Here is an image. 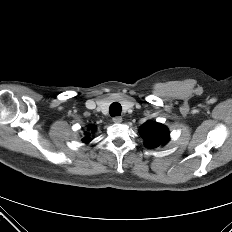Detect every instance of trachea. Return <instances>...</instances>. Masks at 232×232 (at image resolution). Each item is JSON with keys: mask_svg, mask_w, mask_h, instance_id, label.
<instances>
[{"mask_svg": "<svg viewBox=\"0 0 232 232\" xmlns=\"http://www.w3.org/2000/svg\"><path fill=\"white\" fill-rule=\"evenodd\" d=\"M122 107L118 102H114L110 105L109 112L111 116H120Z\"/></svg>", "mask_w": 232, "mask_h": 232, "instance_id": "3493384b", "label": "trachea"}]
</instances>
